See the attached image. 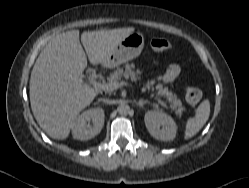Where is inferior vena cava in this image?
Returning <instances> with one entry per match:
<instances>
[{
    "mask_svg": "<svg viewBox=\"0 0 249 188\" xmlns=\"http://www.w3.org/2000/svg\"><path fill=\"white\" fill-rule=\"evenodd\" d=\"M99 101H103V102H105L107 104H112L113 103L112 100H108V99H99Z\"/></svg>",
    "mask_w": 249,
    "mask_h": 188,
    "instance_id": "602c4592",
    "label": "inferior vena cava"
}]
</instances>
